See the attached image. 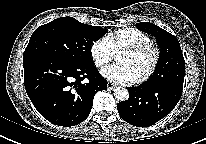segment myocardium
Wrapping results in <instances>:
<instances>
[{"instance_id":"1","label":"myocardium","mask_w":206,"mask_h":144,"mask_svg":"<svg viewBox=\"0 0 206 144\" xmlns=\"http://www.w3.org/2000/svg\"><path fill=\"white\" fill-rule=\"evenodd\" d=\"M122 51L128 52L130 54H139V53H143L146 51L150 52L151 53L150 65L148 69L146 70V72L140 77H138L135 80V82L144 83L153 76V74L155 73L158 67L159 60H160V51L156 45H154L151 42L138 44V45H130V46H126L122 48Z\"/></svg>"}]
</instances>
